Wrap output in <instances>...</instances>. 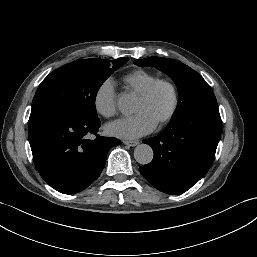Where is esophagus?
Wrapping results in <instances>:
<instances>
[{
	"instance_id": "1",
	"label": "esophagus",
	"mask_w": 257,
	"mask_h": 257,
	"mask_svg": "<svg viewBox=\"0 0 257 257\" xmlns=\"http://www.w3.org/2000/svg\"><path fill=\"white\" fill-rule=\"evenodd\" d=\"M123 143L127 146L134 147L139 144L138 141H123Z\"/></svg>"
}]
</instances>
